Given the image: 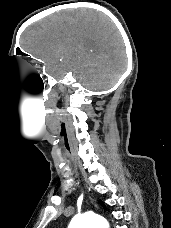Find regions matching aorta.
Here are the masks:
<instances>
[{"label": "aorta", "instance_id": "1", "mask_svg": "<svg viewBox=\"0 0 171 228\" xmlns=\"http://www.w3.org/2000/svg\"><path fill=\"white\" fill-rule=\"evenodd\" d=\"M68 228H109V223L99 215L85 213L75 216Z\"/></svg>", "mask_w": 171, "mask_h": 228}]
</instances>
